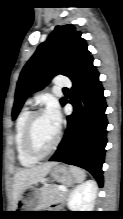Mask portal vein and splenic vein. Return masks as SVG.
<instances>
[{
    "instance_id": "portal-vein-and-splenic-vein-1",
    "label": "portal vein and splenic vein",
    "mask_w": 123,
    "mask_h": 219,
    "mask_svg": "<svg viewBox=\"0 0 123 219\" xmlns=\"http://www.w3.org/2000/svg\"><path fill=\"white\" fill-rule=\"evenodd\" d=\"M58 188H59V190H61V191H67V188H66L65 186H59Z\"/></svg>"
}]
</instances>
